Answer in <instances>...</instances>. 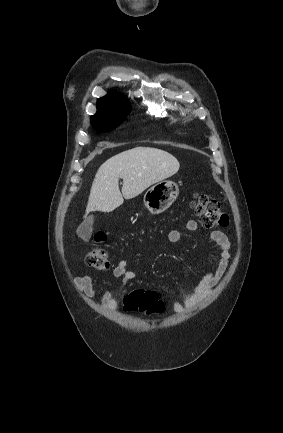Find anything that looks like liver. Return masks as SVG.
Wrapping results in <instances>:
<instances>
[{
	"label": "liver",
	"instance_id": "liver-1",
	"mask_svg": "<svg viewBox=\"0 0 283 433\" xmlns=\"http://www.w3.org/2000/svg\"><path fill=\"white\" fill-rule=\"evenodd\" d=\"M179 166L173 154L151 146H135L111 156L95 174L85 217L92 210H114L123 204L124 198H134L154 182L175 174ZM119 178H123L122 194Z\"/></svg>",
	"mask_w": 283,
	"mask_h": 433
}]
</instances>
